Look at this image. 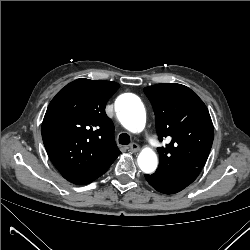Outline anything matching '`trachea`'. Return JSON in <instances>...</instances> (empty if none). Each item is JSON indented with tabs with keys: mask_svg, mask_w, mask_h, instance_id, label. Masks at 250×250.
Returning <instances> with one entry per match:
<instances>
[{
	"mask_svg": "<svg viewBox=\"0 0 250 250\" xmlns=\"http://www.w3.org/2000/svg\"><path fill=\"white\" fill-rule=\"evenodd\" d=\"M119 143L122 145H128L130 143V136L126 133H122L119 136Z\"/></svg>",
	"mask_w": 250,
	"mask_h": 250,
	"instance_id": "3493384b",
	"label": "trachea"
}]
</instances>
